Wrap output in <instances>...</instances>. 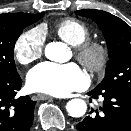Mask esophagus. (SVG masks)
Masks as SVG:
<instances>
[{
    "label": "esophagus",
    "instance_id": "34e87169",
    "mask_svg": "<svg viewBox=\"0 0 131 131\" xmlns=\"http://www.w3.org/2000/svg\"><path fill=\"white\" fill-rule=\"evenodd\" d=\"M35 97H36V99H38V100H47V99H52L51 96L46 95V94H37Z\"/></svg>",
    "mask_w": 131,
    "mask_h": 131
}]
</instances>
